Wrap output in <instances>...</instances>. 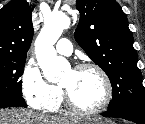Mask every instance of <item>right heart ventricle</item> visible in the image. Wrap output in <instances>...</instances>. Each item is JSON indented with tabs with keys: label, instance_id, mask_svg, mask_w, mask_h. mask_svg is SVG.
I'll use <instances>...</instances> for the list:
<instances>
[{
	"label": "right heart ventricle",
	"instance_id": "right-heart-ventricle-1",
	"mask_svg": "<svg viewBox=\"0 0 145 124\" xmlns=\"http://www.w3.org/2000/svg\"><path fill=\"white\" fill-rule=\"evenodd\" d=\"M61 103H62V96H61V93H60V98H59L58 104L56 105V107H54L53 109H51L49 111L50 112H58V111H60Z\"/></svg>",
	"mask_w": 145,
	"mask_h": 124
}]
</instances>
